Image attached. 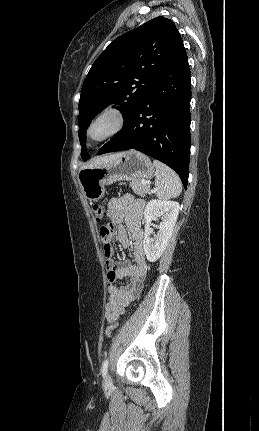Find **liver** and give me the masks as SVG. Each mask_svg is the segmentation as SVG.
<instances>
[{
	"label": "liver",
	"mask_w": 259,
	"mask_h": 431,
	"mask_svg": "<svg viewBox=\"0 0 259 431\" xmlns=\"http://www.w3.org/2000/svg\"><path fill=\"white\" fill-rule=\"evenodd\" d=\"M120 155H121V153H116V154H112V155H105V156L96 157L90 163L83 165L81 167V169L92 168V167H95L97 165H101L103 163H106L108 161H112V160L116 159Z\"/></svg>",
	"instance_id": "obj_1"
}]
</instances>
